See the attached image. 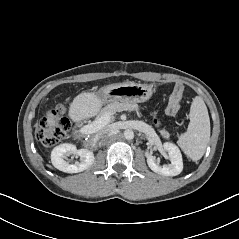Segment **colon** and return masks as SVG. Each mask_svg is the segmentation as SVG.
I'll return each instance as SVG.
<instances>
[{
	"label": "colon",
	"mask_w": 239,
	"mask_h": 239,
	"mask_svg": "<svg viewBox=\"0 0 239 239\" xmlns=\"http://www.w3.org/2000/svg\"><path fill=\"white\" fill-rule=\"evenodd\" d=\"M65 108L57 106L51 110L47 117H45L37 126L35 136L45 146H53L70 130V122L64 116ZM152 123L156 127H162L164 120L161 118L160 111L153 109L151 111ZM55 120V122H54Z\"/></svg>",
	"instance_id": "5ec220e1"
}]
</instances>
